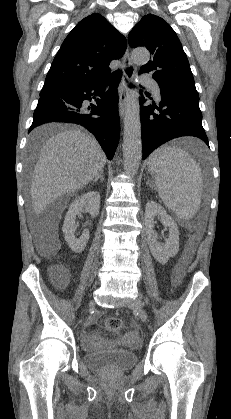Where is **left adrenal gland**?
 Masks as SVG:
<instances>
[{
    "instance_id": "1",
    "label": "left adrenal gland",
    "mask_w": 231,
    "mask_h": 419,
    "mask_svg": "<svg viewBox=\"0 0 231 419\" xmlns=\"http://www.w3.org/2000/svg\"><path fill=\"white\" fill-rule=\"evenodd\" d=\"M146 185H149L151 188H153L152 185H151V183H150V181H147L146 182Z\"/></svg>"
}]
</instances>
